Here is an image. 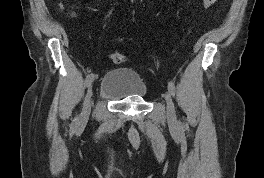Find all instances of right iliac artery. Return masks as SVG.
I'll use <instances>...</instances> for the list:
<instances>
[{
	"mask_svg": "<svg viewBox=\"0 0 264 178\" xmlns=\"http://www.w3.org/2000/svg\"><path fill=\"white\" fill-rule=\"evenodd\" d=\"M93 78H94V74L87 75L86 80H85V85L86 86H89V84L92 82ZM77 123H78V118H75L73 120L72 126L73 127H76L77 126Z\"/></svg>",
	"mask_w": 264,
	"mask_h": 178,
	"instance_id": "right-iliac-artery-1",
	"label": "right iliac artery"
}]
</instances>
